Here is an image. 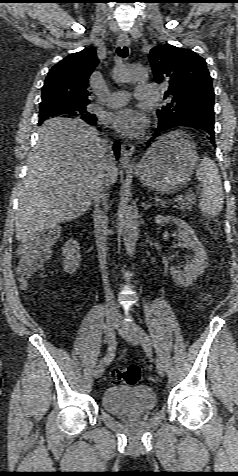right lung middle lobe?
<instances>
[{
    "instance_id": "obj_1",
    "label": "right lung middle lobe",
    "mask_w": 238,
    "mask_h": 476,
    "mask_svg": "<svg viewBox=\"0 0 238 476\" xmlns=\"http://www.w3.org/2000/svg\"><path fill=\"white\" fill-rule=\"evenodd\" d=\"M54 116L78 117L88 123L96 122V117L86 110V105H69L56 101H45L40 104V123Z\"/></svg>"
}]
</instances>
